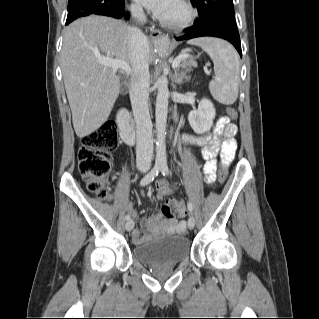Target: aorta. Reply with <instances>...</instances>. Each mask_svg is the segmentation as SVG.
Listing matches in <instances>:
<instances>
[{"label":"aorta","instance_id":"aorta-1","mask_svg":"<svg viewBox=\"0 0 319 319\" xmlns=\"http://www.w3.org/2000/svg\"><path fill=\"white\" fill-rule=\"evenodd\" d=\"M158 94L156 99V134H157V143H156V159L155 163L158 166L166 165V122H167V113H168V98H169V89H168V79L166 76H160L157 80Z\"/></svg>","mask_w":319,"mask_h":319}]
</instances>
